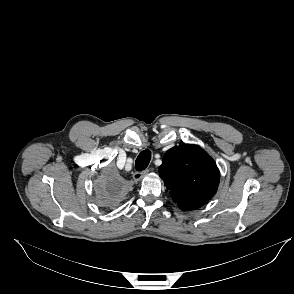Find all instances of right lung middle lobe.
I'll return each instance as SVG.
<instances>
[{
	"mask_svg": "<svg viewBox=\"0 0 294 294\" xmlns=\"http://www.w3.org/2000/svg\"><path fill=\"white\" fill-rule=\"evenodd\" d=\"M124 195V189L117 180L110 177L102 178L97 182L96 202L103 207L116 206Z\"/></svg>",
	"mask_w": 294,
	"mask_h": 294,
	"instance_id": "right-lung-middle-lobe-1",
	"label": "right lung middle lobe"
}]
</instances>
